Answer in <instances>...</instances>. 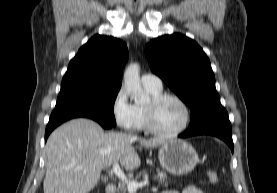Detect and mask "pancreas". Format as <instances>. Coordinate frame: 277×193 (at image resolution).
<instances>
[{"instance_id": "cf45deb5", "label": "pancreas", "mask_w": 277, "mask_h": 193, "mask_svg": "<svg viewBox=\"0 0 277 193\" xmlns=\"http://www.w3.org/2000/svg\"><path fill=\"white\" fill-rule=\"evenodd\" d=\"M145 176H147V173H146L145 170H143V171L139 172L136 175L135 180H137V179H139L141 177H145ZM155 178L158 179L159 184L165 185V186L168 185V176H167V174L165 172H163V171H157V176H155ZM127 191H128L127 186L124 183H119L117 192L118 193H127Z\"/></svg>"}]
</instances>
